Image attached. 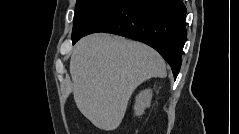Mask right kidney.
Listing matches in <instances>:
<instances>
[{
  "instance_id": "obj_1",
  "label": "right kidney",
  "mask_w": 239,
  "mask_h": 134,
  "mask_svg": "<svg viewBox=\"0 0 239 134\" xmlns=\"http://www.w3.org/2000/svg\"><path fill=\"white\" fill-rule=\"evenodd\" d=\"M152 91L150 89L142 91L136 97V103L134 106L135 114L142 115L144 110L148 108L151 104Z\"/></svg>"
}]
</instances>
